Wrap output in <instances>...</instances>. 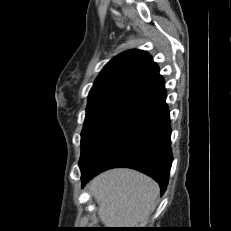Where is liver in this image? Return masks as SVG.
<instances>
[{"mask_svg":"<svg viewBox=\"0 0 231 231\" xmlns=\"http://www.w3.org/2000/svg\"><path fill=\"white\" fill-rule=\"evenodd\" d=\"M99 204L98 214L107 228H143L159 194L150 177L130 169L101 173L88 185Z\"/></svg>","mask_w":231,"mask_h":231,"instance_id":"1","label":"liver"}]
</instances>
